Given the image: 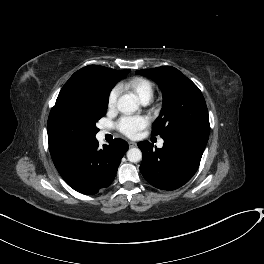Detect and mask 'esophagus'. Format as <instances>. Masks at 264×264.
Here are the masks:
<instances>
[{"label":"esophagus","mask_w":264,"mask_h":264,"mask_svg":"<svg viewBox=\"0 0 264 264\" xmlns=\"http://www.w3.org/2000/svg\"><path fill=\"white\" fill-rule=\"evenodd\" d=\"M137 144L135 142H129V147H135Z\"/></svg>","instance_id":"esophagus-1"}]
</instances>
